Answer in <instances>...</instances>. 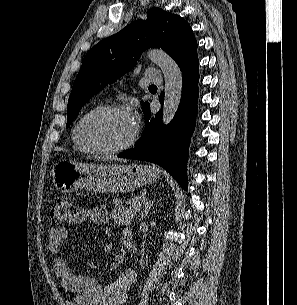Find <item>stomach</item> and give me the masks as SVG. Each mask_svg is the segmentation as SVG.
<instances>
[{"mask_svg": "<svg viewBox=\"0 0 297 305\" xmlns=\"http://www.w3.org/2000/svg\"><path fill=\"white\" fill-rule=\"evenodd\" d=\"M160 175L159 168L144 164H82L62 160L52 169L54 186L63 194L76 190L133 192L140 186L156 182Z\"/></svg>", "mask_w": 297, "mask_h": 305, "instance_id": "stomach-1", "label": "stomach"}]
</instances>
